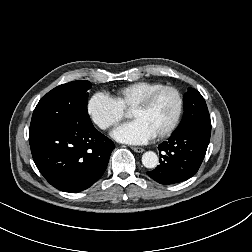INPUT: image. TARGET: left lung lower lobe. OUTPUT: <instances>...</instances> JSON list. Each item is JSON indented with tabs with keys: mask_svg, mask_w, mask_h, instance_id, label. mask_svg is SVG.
Returning <instances> with one entry per match:
<instances>
[{
	"mask_svg": "<svg viewBox=\"0 0 252 252\" xmlns=\"http://www.w3.org/2000/svg\"><path fill=\"white\" fill-rule=\"evenodd\" d=\"M211 125L195 124L173 132L158 146L160 165L147 172L161 184H175L195 175L210 141Z\"/></svg>",
	"mask_w": 252,
	"mask_h": 252,
	"instance_id": "0a47b994",
	"label": "left lung lower lobe"
}]
</instances>
